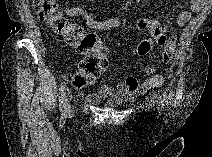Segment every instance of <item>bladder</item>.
I'll use <instances>...</instances> for the list:
<instances>
[{
    "mask_svg": "<svg viewBox=\"0 0 212 157\" xmlns=\"http://www.w3.org/2000/svg\"><path fill=\"white\" fill-rule=\"evenodd\" d=\"M125 104V101L121 99H111L105 103L106 106L112 107V108H118Z\"/></svg>",
    "mask_w": 212,
    "mask_h": 157,
    "instance_id": "1",
    "label": "bladder"
}]
</instances>
